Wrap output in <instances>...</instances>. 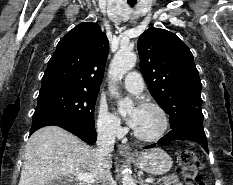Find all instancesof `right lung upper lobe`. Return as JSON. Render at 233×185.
I'll return each mask as SVG.
<instances>
[{
	"label": "right lung upper lobe",
	"mask_w": 233,
	"mask_h": 185,
	"mask_svg": "<svg viewBox=\"0 0 233 185\" xmlns=\"http://www.w3.org/2000/svg\"><path fill=\"white\" fill-rule=\"evenodd\" d=\"M108 51V39L98 24L77 25L59 41L40 91L63 88L99 92Z\"/></svg>",
	"instance_id": "obj_1"
}]
</instances>
